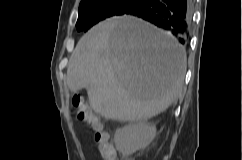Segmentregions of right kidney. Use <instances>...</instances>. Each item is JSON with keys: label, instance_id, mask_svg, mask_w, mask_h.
<instances>
[{"label": "right kidney", "instance_id": "ca27d5eb", "mask_svg": "<svg viewBox=\"0 0 242 160\" xmlns=\"http://www.w3.org/2000/svg\"><path fill=\"white\" fill-rule=\"evenodd\" d=\"M156 127L139 122L118 129L114 134L116 149L123 155H131L145 149L154 139Z\"/></svg>", "mask_w": 242, "mask_h": 160}]
</instances>
